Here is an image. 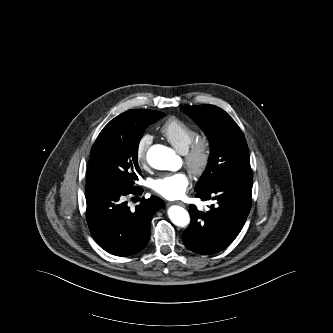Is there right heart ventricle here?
<instances>
[{
  "instance_id": "obj_1",
  "label": "right heart ventricle",
  "mask_w": 333,
  "mask_h": 333,
  "mask_svg": "<svg viewBox=\"0 0 333 333\" xmlns=\"http://www.w3.org/2000/svg\"><path fill=\"white\" fill-rule=\"evenodd\" d=\"M160 133L180 153H185L197 136L192 127L176 117L167 119L161 126Z\"/></svg>"
}]
</instances>
